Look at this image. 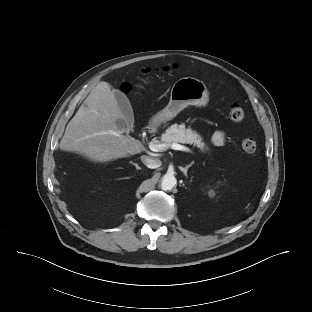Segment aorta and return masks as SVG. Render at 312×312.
<instances>
[{
  "mask_svg": "<svg viewBox=\"0 0 312 312\" xmlns=\"http://www.w3.org/2000/svg\"><path fill=\"white\" fill-rule=\"evenodd\" d=\"M177 183L176 178L171 174H165L161 180V189L164 191L171 190Z\"/></svg>",
  "mask_w": 312,
  "mask_h": 312,
  "instance_id": "obj_1",
  "label": "aorta"
}]
</instances>
